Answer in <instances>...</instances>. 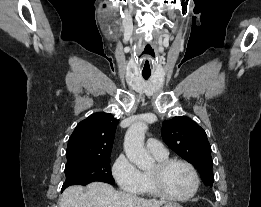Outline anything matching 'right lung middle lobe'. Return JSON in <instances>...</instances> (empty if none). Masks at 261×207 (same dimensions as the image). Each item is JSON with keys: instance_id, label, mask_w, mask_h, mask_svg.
Here are the masks:
<instances>
[{"instance_id": "dd1d6c3e", "label": "right lung middle lobe", "mask_w": 261, "mask_h": 207, "mask_svg": "<svg viewBox=\"0 0 261 207\" xmlns=\"http://www.w3.org/2000/svg\"><path fill=\"white\" fill-rule=\"evenodd\" d=\"M65 175L66 180L61 191L71 185H86L94 181L114 185L110 169V156L67 162Z\"/></svg>"}]
</instances>
